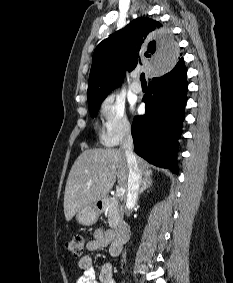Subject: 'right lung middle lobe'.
<instances>
[{
	"instance_id": "dd1d6c3e",
	"label": "right lung middle lobe",
	"mask_w": 233,
	"mask_h": 283,
	"mask_svg": "<svg viewBox=\"0 0 233 283\" xmlns=\"http://www.w3.org/2000/svg\"><path fill=\"white\" fill-rule=\"evenodd\" d=\"M101 103L89 106L90 114L92 117H95L98 113Z\"/></svg>"
}]
</instances>
